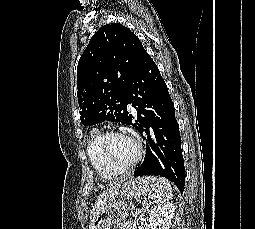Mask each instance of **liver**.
Returning a JSON list of instances; mask_svg holds the SVG:
<instances>
[{
    "instance_id": "liver-1",
    "label": "liver",
    "mask_w": 255,
    "mask_h": 229,
    "mask_svg": "<svg viewBox=\"0 0 255 229\" xmlns=\"http://www.w3.org/2000/svg\"><path fill=\"white\" fill-rule=\"evenodd\" d=\"M120 186H121L120 183L115 184V186H113L110 189H107L97 198V201L95 202L90 215L91 217L94 216L97 212L101 211L105 206H107L116 198Z\"/></svg>"
}]
</instances>
